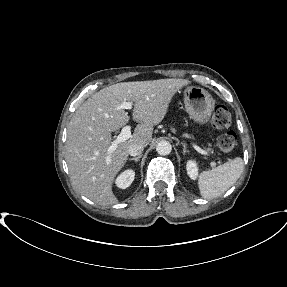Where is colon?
I'll return each instance as SVG.
<instances>
[{
    "mask_svg": "<svg viewBox=\"0 0 287 287\" xmlns=\"http://www.w3.org/2000/svg\"><path fill=\"white\" fill-rule=\"evenodd\" d=\"M232 124V117L229 110L222 105L215 108L212 116V125L216 129H226ZM237 145V135L233 131H227L217 138L219 150L227 156L234 153Z\"/></svg>",
    "mask_w": 287,
    "mask_h": 287,
    "instance_id": "1",
    "label": "colon"
}]
</instances>
